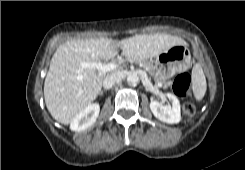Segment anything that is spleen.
I'll return each instance as SVG.
<instances>
[{"mask_svg": "<svg viewBox=\"0 0 245 170\" xmlns=\"http://www.w3.org/2000/svg\"><path fill=\"white\" fill-rule=\"evenodd\" d=\"M207 84L203 69L200 64H195L192 69V90L197 101H201L206 93Z\"/></svg>", "mask_w": 245, "mask_h": 170, "instance_id": "spleen-1", "label": "spleen"}]
</instances>
